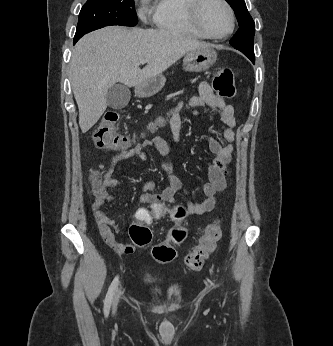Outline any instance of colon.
Masks as SVG:
<instances>
[{
	"label": "colon",
	"mask_w": 333,
	"mask_h": 346,
	"mask_svg": "<svg viewBox=\"0 0 333 346\" xmlns=\"http://www.w3.org/2000/svg\"><path fill=\"white\" fill-rule=\"evenodd\" d=\"M213 88L221 98L231 99L236 94L234 74L230 68H220L213 79ZM119 120L117 112H107L99 122L93 134L94 144L105 150H125L132 145V140L128 135L119 134L116 131V124ZM91 189L96 195H103L106 192V184L98 172H93L90 176ZM185 216L183 207L174 210L173 218L181 220ZM138 217L142 223L130 226V239L134 240L137 246L146 247L152 240V231L145 224L149 220V214L140 210ZM186 230L176 227L171 230L169 240L155 244L151 253L153 258L161 263L172 262L176 257L175 245H180L186 238ZM222 236V227L219 222L210 224L200 237L196 246L186 256L185 262L190 270H200L211 252L217 246Z\"/></svg>",
	"instance_id": "colon-1"
}]
</instances>
